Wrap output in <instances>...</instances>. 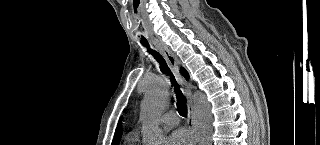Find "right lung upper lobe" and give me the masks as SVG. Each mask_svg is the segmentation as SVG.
<instances>
[{"label":"right lung upper lobe","instance_id":"cb5924a9","mask_svg":"<svg viewBox=\"0 0 320 145\" xmlns=\"http://www.w3.org/2000/svg\"><path fill=\"white\" fill-rule=\"evenodd\" d=\"M181 73H183L185 77H188V74L185 71V69H181ZM120 129H121V122H119L118 125H117L116 132H115V135H114V139L112 141V143H116V145L118 144V142H119V140L121 138V135H122V133L120 132Z\"/></svg>","mask_w":320,"mask_h":145}]
</instances>
